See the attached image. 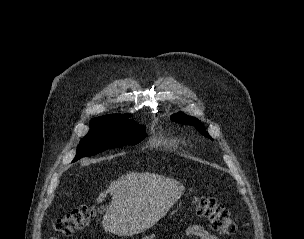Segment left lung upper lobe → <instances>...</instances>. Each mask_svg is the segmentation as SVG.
Wrapping results in <instances>:
<instances>
[{"label":"left lung upper lobe","mask_w":304,"mask_h":239,"mask_svg":"<svg viewBox=\"0 0 304 239\" xmlns=\"http://www.w3.org/2000/svg\"><path fill=\"white\" fill-rule=\"evenodd\" d=\"M171 119L177 123L186 124V125H192L195 126V128L204 136L210 138L209 134L206 132L203 124L200 120L197 118L187 116L183 114L182 112L175 113L171 116Z\"/></svg>","instance_id":"left-lung-upper-lobe-1"}]
</instances>
